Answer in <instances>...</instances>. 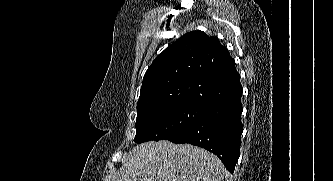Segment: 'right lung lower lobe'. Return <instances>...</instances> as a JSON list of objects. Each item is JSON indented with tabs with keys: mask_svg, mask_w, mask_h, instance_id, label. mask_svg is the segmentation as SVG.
I'll list each match as a JSON object with an SVG mask.
<instances>
[{
	"mask_svg": "<svg viewBox=\"0 0 333 181\" xmlns=\"http://www.w3.org/2000/svg\"><path fill=\"white\" fill-rule=\"evenodd\" d=\"M241 94L208 105L190 127L169 141L203 147L217 155L233 173L243 132Z\"/></svg>",
	"mask_w": 333,
	"mask_h": 181,
	"instance_id": "1",
	"label": "right lung lower lobe"
}]
</instances>
